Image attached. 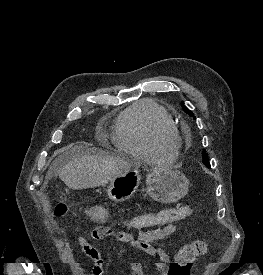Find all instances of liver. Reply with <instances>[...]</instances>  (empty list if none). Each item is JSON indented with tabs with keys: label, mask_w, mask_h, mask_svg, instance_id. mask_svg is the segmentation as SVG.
<instances>
[{
	"label": "liver",
	"mask_w": 263,
	"mask_h": 275,
	"mask_svg": "<svg viewBox=\"0 0 263 275\" xmlns=\"http://www.w3.org/2000/svg\"><path fill=\"white\" fill-rule=\"evenodd\" d=\"M130 160L87 151L76 154L59 170V178L73 190L104 186L134 166Z\"/></svg>",
	"instance_id": "1"
}]
</instances>
